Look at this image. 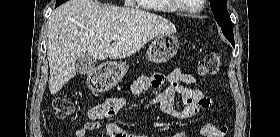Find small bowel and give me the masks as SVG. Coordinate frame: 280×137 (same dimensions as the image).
I'll list each match as a JSON object with an SVG mask.
<instances>
[{"label": "small bowel", "instance_id": "small-bowel-1", "mask_svg": "<svg viewBox=\"0 0 280 137\" xmlns=\"http://www.w3.org/2000/svg\"><path fill=\"white\" fill-rule=\"evenodd\" d=\"M193 74L183 73L175 68L168 73L156 72L152 76L138 78L130 87L131 94H139L149 89H158L163 84L165 88L157 93L152 99L145 103V109H152L159 106L162 112L168 116L178 119L193 118L198 115L201 109L211 107L212 100L206 97L200 88L191 87L196 83ZM179 95L183 105L175 106V98ZM123 97H113L94 106L89 112V120L82 127L76 130L75 137H85L88 131L96 130L102 126L103 119L115 118L124 107ZM214 127L212 124H205V128ZM105 137H135L133 134L120 128L115 122H109L106 127ZM173 137H186L183 132L174 134Z\"/></svg>", "mask_w": 280, "mask_h": 137}]
</instances>
